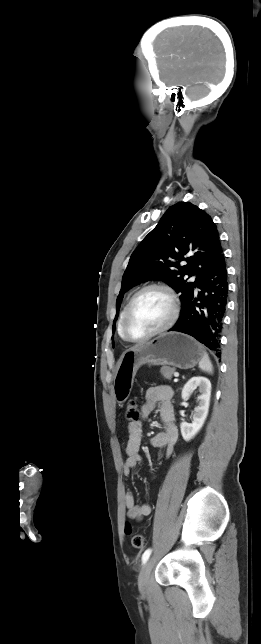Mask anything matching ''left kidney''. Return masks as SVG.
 Returning a JSON list of instances; mask_svg holds the SVG:
<instances>
[{
	"label": "left kidney",
	"mask_w": 261,
	"mask_h": 644,
	"mask_svg": "<svg viewBox=\"0 0 261 644\" xmlns=\"http://www.w3.org/2000/svg\"><path fill=\"white\" fill-rule=\"evenodd\" d=\"M199 388L201 393L198 396V406L195 408L192 423L182 422L180 424L181 434L185 441H190L202 428L206 417L208 415L210 396H211V383L205 377L191 378L182 389V399L188 400L193 390Z\"/></svg>",
	"instance_id": "1"
}]
</instances>
